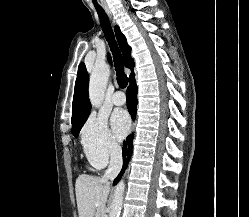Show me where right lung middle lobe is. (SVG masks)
<instances>
[{
	"label": "right lung middle lobe",
	"instance_id": "obj_1",
	"mask_svg": "<svg viewBox=\"0 0 249 217\" xmlns=\"http://www.w3.org/2000/svg\"><path fill=\"white\" fill-rule=\"evenodd\" d=\"M88 118V117H87ZM87 118H85L84 120H82L81 122L75 124L72 126V134L77 138L78 137V134L83 126V124L85 123V121L87 120Z\"/></svg>",
	"mask_w": 249,
	"mask_h": 217
}]
</instances>
